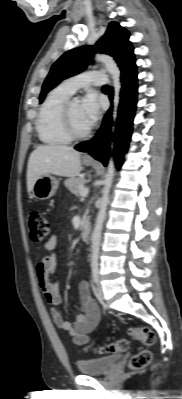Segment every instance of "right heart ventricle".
I'll use <instances>...</instances> for the list:
<instances>
[{
    "label": "right heart ventricle",
    "mask_w": 182,
    "mask_h": 399,
    "mask_svg": "<svg viewBox=\"0 0 182 399\" xmlns=\"http://www.w3.org/2000/svg\"><path fill=\"white\" fill-rule=\"evenodd\" d=\"M71 94L60 86L52 90L40 107L36 129L39 139L48 145L67 144L71 139L66 135L62 111Z\"/></svg>",
    "instance_id": "e07e8e85"
}]
</instances>
